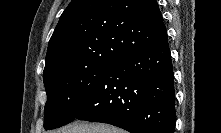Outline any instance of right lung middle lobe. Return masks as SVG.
Segmentation results:
<instances>
[{
	"mask_svg": "<svg viewBox=\"0 0 221 133\" xmlns=\"http://www.w3.org/2000/svg\"><path fill=\"white\" fill-rule=\"evenodd\" d=\"M111 64L73 65L43 76L47 93L44 128L70 123L89 100Z\"/></svg>",
	"mask_w": 221,
	"mask_h": 133,
	"instance_id": "obj_1",
	"label": "right lung middle lobe"
}]
</instances>
